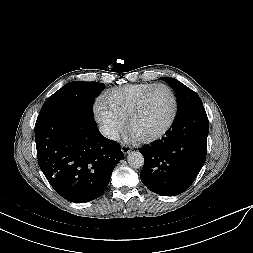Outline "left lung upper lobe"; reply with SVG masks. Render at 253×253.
<instances>
[{"label": "left lung upper lobe", "mask_w": 253, "mask_h": 253, "mask_svg": "<svg viewBox=\"0 0 253 253\" xmlns=\"http://www.w3.org/2000/svg\"><path fill=\"white\" fill-rule=\"evenodd\" d=\"M162 79L167 82L175 92L178 103L177 114L203 105L200 97L193 90L182 84L177 79L169 77H163Z\"/></svg>", "instance_id": "1"}]
</instances>
